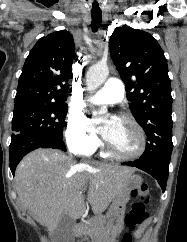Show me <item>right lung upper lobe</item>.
I'll use <instances>...</instances> for the list:
<instances>
[{
	"instance_id": "cb5924a9",
	"label": "right lung upper lobe",
	"mask_w": 187,
	"mask_h": 242,
	"mask_svg": "<svg viewBox=\"0 0 187 242\" xmlns=\"http://www.w3.org/2000/svg\"><path fill=\"white\" fill-rule=\"evenodd\" d=\"M75 57L73 36L66 30L42 37L30 51L19 78L15 107L64 104Z\"/></svg>"
}]
</instances>
